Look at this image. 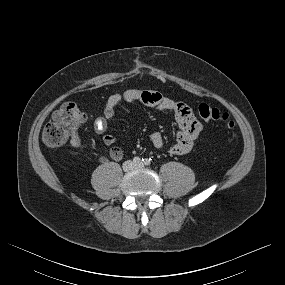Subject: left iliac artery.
Returning a JSON list of instances; mask_svg holds the SVG:
<instances>
[{
  "mask_svg": "<svg viewBox=\"0 0 285 285\" xmlns=\"http://www.w3.org/2000/svg\"><path fill=\"white\" fill-rule=\"evenodd\" d=\"M143 163H144L145 165H150V164H151V158H145V159H143Z\"/></svg>",
  "mask_w": 285,
  "mask_h": 285,
  "instance_id": "44dca946",
  "label": "left iliac artery"
}]
</instances>
